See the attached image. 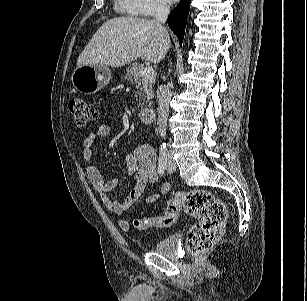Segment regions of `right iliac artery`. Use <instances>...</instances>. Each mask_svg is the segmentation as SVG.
Returning <instances> with one entry per match:
<instances>
[{"mask_svg": "<svg viewBox=\"0 0 307 301\" xmlns=\"http://www.w3.org/2000/svg\"><path fill=\"white\" fill-rule=\"evenodd\" d=\"M168 148L162 146L159 151L158 171L163 176L167 164Z\"/></svg>", "mask_w": 307, "mask_h": 301, "instance_id": "82829eb1", "label": "right iliac artery"}]
</instances>
